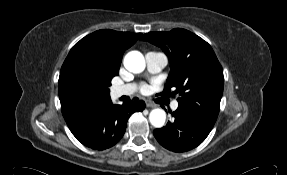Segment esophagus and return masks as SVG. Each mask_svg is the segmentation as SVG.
<instances>
[{
    "instance_id": "obj_1",
    "label": "esophagus",
    "mask_w": 287,
    "mask_h": 175,
    "mask_svg": "<svg viewBox=\"0 0 287 175\" xmlns=\"http://www.w3.org/2000/svg\"><path fill=\"white\" fill-rule=\"evenodd\" d=\"M146 106L149 108H155L156 104H154L152 101L150 100H146Z\"/></svg>"
}]
</instances>
